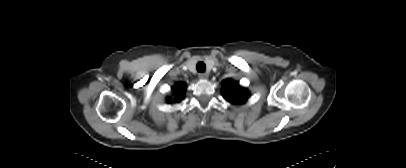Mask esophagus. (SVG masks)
<instances>
[{
  "instance_id": "esophagus-1",
  "label": "esophagus",
  "mask_w": 406,
  "mask_h": 168,
  "mask_svg": "<svg viewBox=\"0 0 406 168\" xmlns=\"http://www.w3.org/2000/svg\"><path fill=\"white\" fill-rule=\"evenodd\" d=\"M199 77L201 79H206V78H208V74L207 73H199Z\"/></svg>"
}]
</instances>
